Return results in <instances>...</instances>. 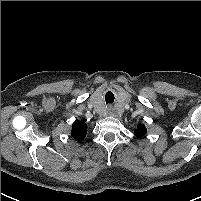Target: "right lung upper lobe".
I'll return each mask as SVG.
<instances>
[{
  "label": "right lung upper lobe",
  "instance_id": "1",
  "mask_svg": "<svg viewBox=\"0 0 201 201\" xmlns=\"http://www.w3.org/2000/svg\"><path fill=\"white\" fill-rule=\"evenodd\" d=\"M87 125L83 121H75L72 125L71 136L78 142H81L86 136Z\"/></svg>",
  "mask_w": 201,
  "mask_h": 201
}]
</instances>
